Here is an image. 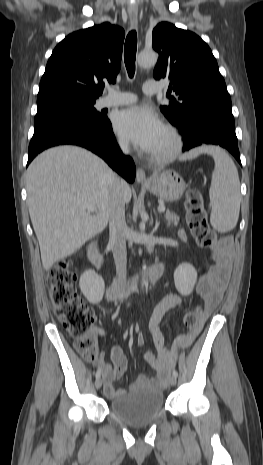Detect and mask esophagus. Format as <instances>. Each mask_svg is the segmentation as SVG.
Instances as JSON below:
<instances>
[{
	"mask_svg": "<svg viewBox=\"0 0 263 465\" xmlns=\"http://www.w3.org/2000/svg\"><path fill=\"white\" fill-rule=\"evenodd\" d=\"M129 19H130V23L131 25L135 28L137 27V24H138V16L136 14H131L129 16ZM136 180L138 183H141V184H144V183H147L148 182V179L146 177V173L144 171V169L142 168H138L137 169V173H136Z\"/></svg>",
	"mask_w": 263,
	"mask_h": 465,
	"instance_id": "1",
	"label": "esophagus"
}]
</instances>
